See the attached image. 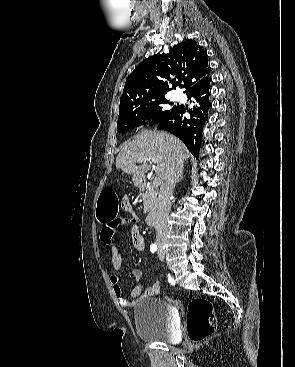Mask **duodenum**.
I'll list each match as a JSON object with an SVG mask.
<instances>
[{
	"label": "duodenum",
	"mask_w": 295,
	"mask_h": 367,
	"mask_svg": "<svg viewBox=\"0 0 295 367\" xmlns=\"http://www.w3.org/2000/svg\"><path fill=\"white\" fill-rule=\"evenodd\" d=\"M140 184L141 186H145L146 185V180L144 178H140ZM158 220V210L154 209L152 210L146 217V223L149 226H153L156 224Z\"/></svg>",
	"instance_id": "410a0bca"
}]
</instances>
